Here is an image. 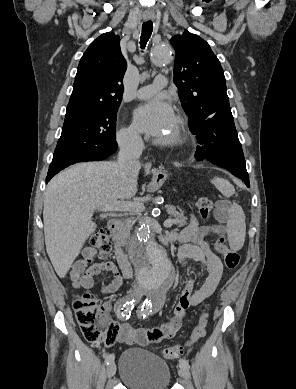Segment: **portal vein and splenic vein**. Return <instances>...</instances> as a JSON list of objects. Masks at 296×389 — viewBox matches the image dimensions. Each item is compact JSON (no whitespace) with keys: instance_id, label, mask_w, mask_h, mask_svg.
Instances as JSON below:
<instances>
[{"instance_id":"18ae733b","label":"portal vein and splenic vein","mask_w":296,"mask_h":389,"mask_svg":"<svg viewBox=\"0 0 296 389\" xmlns=\"http://www.w3.org/2000/svg\"><path fill=\"white\" fill-rule=\"evenodd\" d=\"M145 209L144 205L139 202L132 201H113L108 205L100 208L101 212H120V211H135L141 212ZM173 225L172 219L164 221V226L170 228Z\"/></svg>"}]
</instances>
